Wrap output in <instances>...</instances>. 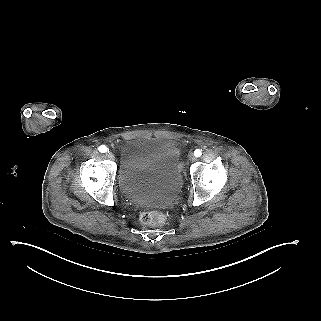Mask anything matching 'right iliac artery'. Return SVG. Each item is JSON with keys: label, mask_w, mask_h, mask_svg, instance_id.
<instances>
[{"label": "right iliac artery", "mask_w": 321, "mask_h": 321, "mask_svg": "<svg viewBox=\"0 0 321 321\" xmlns=\"http://www.w3.org/2000/svg\"><path fill=\"white\" fill-rule=\"evenodd\" d=\"M107 150H108V148H107L105 145H101V146L99 147V151H100L101 153H105Z\"/></svg>", "instance_id": "82829eb1"}]
</instances>
